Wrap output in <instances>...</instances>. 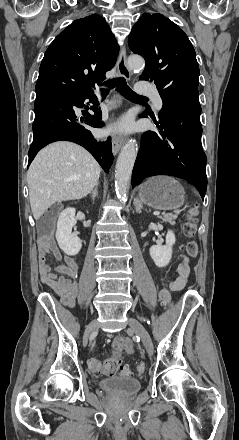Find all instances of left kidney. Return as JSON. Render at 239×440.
<instances>
[{
	"label": "left kidney",
	"instance_id": "obj_1",
	"mask_svg": "<svg viewBox=\"0 0 239 440\" xmlns=\"http://www.w3.org/2000/svg\"><path fill=\"white\" fill-rule=\"evenodd\" d=\"M175 242V234H173L172 230H168L166 246H160V244L159 246H151L149 250L150 256L158 268H165L169 264L172 258V246H174Z\"/></svg>",
	"mask_w": 239,
	"mask_h": 440
}]
</instances>
